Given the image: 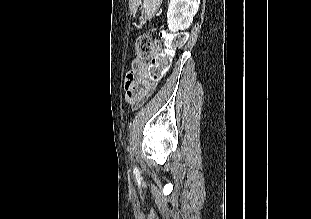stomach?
Listing matches in <instances>:
<instances>
[{
	"instance_id": "obj_1",
	"label": "stomach",
	"mask_w": 311,
	"mask_h": 219,
	"mask_svg": "<svg viewBox=\"0 0 311 219\" xmlns=\"http://www.w3.org/2000/svg\"><path fill=\"white\" fill-rule=\"evenodd\" d=\"M162 0H143L141 22H146L154 16Z\"/></svg>"
}]
</instances>
